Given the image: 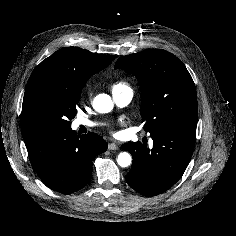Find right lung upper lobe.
<instances>
[{
    "label": "right lung upper lobe",
    "instance_id": "cb5924a9",
    "mask_svg": "<svg viewBox=\"0 0 236 236\" xmlns=\"http://www.w3.org/2000/svg\"><path fill=\"white\" fill-rule=\"evenodd\" d=\"M114 58V55H100L77 47H64L34 69L27 86L35 81H42L73 91L81 90L91 75L105 69Z\"/></svg>",
    "mask_w": 236,
    "mask_h": 236
}]
</instances>
